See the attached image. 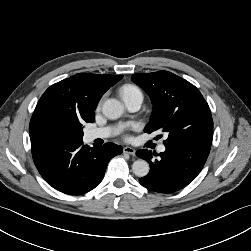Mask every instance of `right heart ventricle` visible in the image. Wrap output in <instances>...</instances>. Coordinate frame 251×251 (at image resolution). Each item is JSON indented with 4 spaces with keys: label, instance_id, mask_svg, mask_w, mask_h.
I'll return each instance as SVG.
<instances>
[{
    "label": "right heart ventricle",
    "instance_id": "e07e8e85",
    "mask_svg": "<svg viewBox=\"0 0 251 251\" xmlns=\"http://www.w3.org/2000/svg\"><path fill=\"white\" fill-rule=\"evenodd\" d=\"M120 94L124 100L133 98V97H142V92L139 87L133 84H126L121 87Z\"/></svg>",
    "mask_w": 251,
    "mask_h": 251
}]
</instances>
